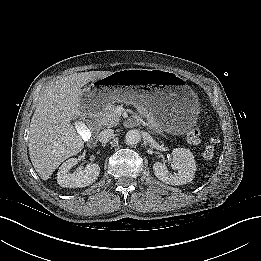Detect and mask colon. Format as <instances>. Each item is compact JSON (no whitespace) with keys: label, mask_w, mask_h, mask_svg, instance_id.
<instances>
[{"label":"colon","mask_w":261,"mask_h":261,"mask_svg":"<svg viewBox=\"0 0 261 261\" xmlns=\"http://www.w3.org/2000/svg\"><path fill=\"white\" fill-rule=\"evenodd\" d=\"M188 142L190 144L196 145L200 142L201 133L198 128H192L187 135ZM218 143V136L216 133H211L208 136V140L201 152V155L205 159H211L216 152V147Z\"/></svg>","instance_id":"obj_1"}]
</instances>
